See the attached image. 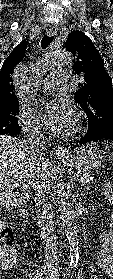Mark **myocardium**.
<instances>
[{
	"instance_id": "f54148a6",
	"label": "myocardium",
	"mask_w": 113,
	"mask_h": 279,
	"mask_svg": "<svg viewBox=\"0 0 113 279\" xmlns=\"http://www.w3.org/2000/svg\"><path fill=\"white\" fill-rule=\"evenodd\" d=\"M82 127H83V123H82L81 114L79 113V111H76V122L74 126L70 129L69 134L71 135L76 134L82 129Z\"/></svg>"
}]
</instances>
